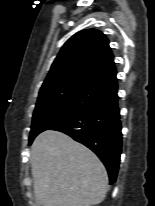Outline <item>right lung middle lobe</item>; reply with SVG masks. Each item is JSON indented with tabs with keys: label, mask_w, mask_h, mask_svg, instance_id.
Wrapping results in <instances>:
<instances>
[{
	"label": "right lung middle lobe",
	"mask_w": 155,
	"mask_h": 206,
	"mask_svg": "<svg viewBox=\"0 0 155 206\" xmlns=\"http://www.w3.org/2000/svg\"><path fill=\"white\" fill-rule=\"evenodd\" d=\"M105 93L86 86H71L39 93L33 113L29 144L41 132L77 115L99 101Z\"/></svg>",
	"instance_id": "dd1d6c3e"
}]
</instances>
